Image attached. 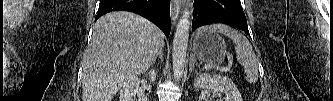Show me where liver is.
<instances>
[{"label": "liver", "mask_w": 333, "mask_h": 101, "mask_svg": "<svg viewBox=\"0 0 333 101\" xmlns=\"http://www.w3.org/2000/svg\"><path fill=\"white\" fill-rule=\"evenodd\" d=\"M163 47L162 31L147 19L127 11L102 16L83 62V101H112L126 81L149 69Z\"/></svg>", "instance_id": "liver-1"}]
</instances>
